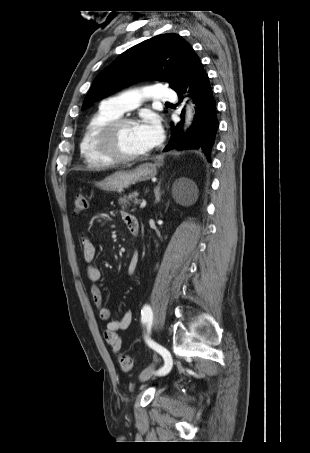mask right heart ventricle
<instances>
[{"label": "right heart ventricle", "mask_w": 310, "mask_h": 453, "mask_svg": "<svg viewBox=\"0 0 310 453\" xmlns=\"http://www.w3.org/2000/svg\"><path fill=\"white\" fill-rule=\"evenodd\" d=\"M120 115L105 108L103 104L88 120L79 144L80 153L85 163L91 168L111 167L114 162L104 157L96 147V137L99 131Z\"/></svg>", "instance_id": "1"}]
</instances>
